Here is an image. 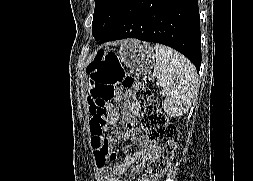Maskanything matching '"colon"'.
Segmentation results:
<instances>
[{
	"instance_id": "obj_1",
	"label": "colon",
	"mask_w": 253,
	"mask_h": 181,
	"mask_svg": "<svg viewBox=\"0 0 253 181\" xmlns=\"http://www.w3.org/2000/svg\"><path fill=\"white\" fill-rule=\"evenodd\" d=\"M95 58L87 68L92 85L90 104L92 114L104 121L108 102L117 94L118 87L133 90V114L138 118L141 130L157 148V155L148 164L150 181L162 177L168 170L174 154L175 125L168 122L159 110L151 91L144 84L136 82L131 75H125L114 53L95 50Z\"/></svg>"
}]
</instances>
